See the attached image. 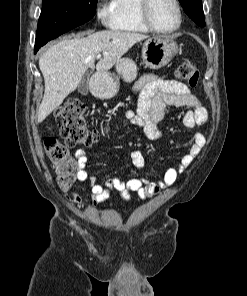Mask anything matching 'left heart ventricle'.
<instances>
[{"instance_id":"1","label":"left heart ventricle","mask_w":247,"mask_h":296,"mask_svg":"<svg viewBox=\"0 0 247 296\" xmlns=\"http://www.w3.org/2000/svg\"><path fill=\"white\" fill-rule=\"evenodd\" d=\"M150 15L160 29H171L177 23V11L171 0H152Z\"/></svg>"}]
</instances>
